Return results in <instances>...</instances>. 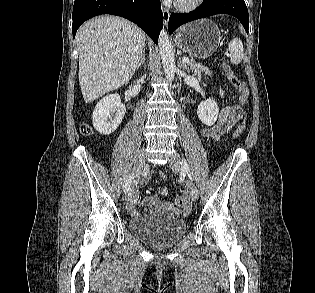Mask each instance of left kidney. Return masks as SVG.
<instances>
[{"label": "left kidney", "mask_w": 315, "mask_h": 293, "mask_svg": "<svg viewBox=\"0 0 315 293\" xmlns=\"http://www.w3.org/2000/svg\"><path fill=\"white\" fill-rule=\"evenodd\" d=\"M219 108L213 98L202 101L197 108V114L201 122L207 126L213 125L218 117Z\"/></svg>", "instance_id": "left-kidney-1"}]
</instances>
